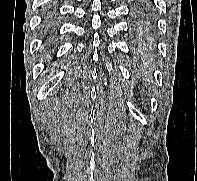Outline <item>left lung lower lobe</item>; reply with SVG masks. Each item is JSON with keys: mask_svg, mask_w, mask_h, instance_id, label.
<instances>
[{"mask_svg": "<svg viewBox=\"0 0 197 181\" xmlns=\"http://www.w3.org/2000/svg\"><path fill=\"white\" fill-rule=\"evenodd\" d=\"M130 35L138 53H148L153 49L155 29L151 0H131Z\"/></svg>", "mask_w": 197, "mask_h": 181, "instance_id": "left-lung-lower-lobe-1", "label": "left lung lower lobe"}]
</instances>
